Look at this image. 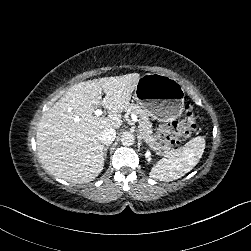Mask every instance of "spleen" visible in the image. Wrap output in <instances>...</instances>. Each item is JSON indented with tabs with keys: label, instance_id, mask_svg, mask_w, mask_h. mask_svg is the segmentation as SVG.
I'll return each mask as SVG.
<instances>
[{
	"label": "spleen",
	"instance_id": "3e777b00",
	"mask_svg": "<svg viewBox=\"0 0 251 251\" xmlns=\"http://www.w3.org/2000/svg\"><path fill=\"white\" fill-rule=\"evenodd\" d=\"M205 149V139L197 136L184 147L169 152L149 173L150 178L169 182L184 176L197 165Z\"/></svg>",
	"mask_w": 251,
	"mask_h": 251
}]
</instances>
